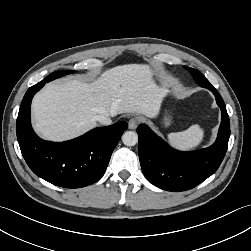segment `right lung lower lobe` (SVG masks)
<instances>
[{
	"instance_id": "1",
	"label": "right lung lower lobe",
	"mask_w": 251,
	"mask_h": 251,
	"mask_svg": "<svg viewBox=\"0 0 251 251\" xmlns=\"http://www.w3.org/2000/svg\"><path fill=\"white\" fill-rule=\"evenodd\" d=\"M45 83L41 81L30 87L19 109L16 133L22 155L36 175L56 186L80 188L93 184L105 173L128 124L122 121L95 128L66 142L44 141L32 129L30 106L34 94Z\"/></svg>"
}]
</instances>
